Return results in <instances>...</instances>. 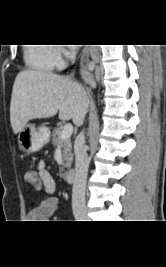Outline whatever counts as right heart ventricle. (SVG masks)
Here are the masks:
<instances>
[{
  "mask_svg": "<svg viewBox=\"0 0 166 267\" xmlns=\"http://www.w3.org/2000/svg\"><path fill=\"white\" fill-rule=\"evenodd\" d=\"M23 56L28 68L40 72H50L62 64L55 48L48 44H27L24 47Z\"/></svg>",
  "mask_w": 166,
  "mask_h": 267,
  "instance_id": "1",
  "label": "right heart ventricle"
}]
</instances>
